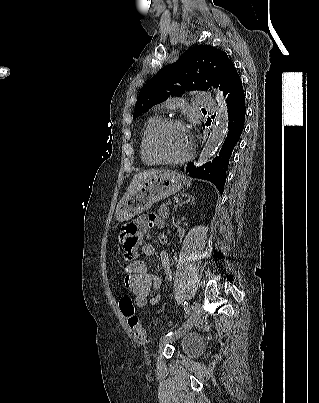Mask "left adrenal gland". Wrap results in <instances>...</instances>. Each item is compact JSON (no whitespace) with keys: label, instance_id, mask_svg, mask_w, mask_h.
I'll use <instances>...</instances> for the list:
<instances>
[{"label":"left adrenal gland","instance_id":"a2214340","mask_svg":"<svg viewBox=\"0 0 319 403\" xmlns=\"http://www.w3.org/2000/svg\"><path fill=\"white\" fill-rule=\"evenodd\" d=\"M182 196H188L187 194H181ZM188 202H194V197L188 196V200L183 201L182 203L177 204L176 206H174V208L176 209L177 206H181L183 204H186Z\"/></svg>","mask_w":319,"mask_h":403}]
</instances>
